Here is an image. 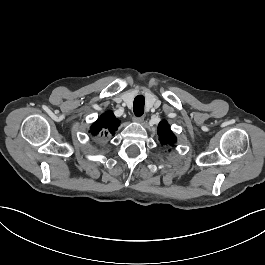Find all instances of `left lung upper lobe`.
<instances>
[{"instance_id": "left-lung-upper-lobe-1", "label": "left lung upper lobe", "mask_w": 265, "mask_h": 265, "mask_svg": "<svg viewBox=\"0 0 265 265\" xmlns=\"http://www.w3.org/2000/svg\"><path fill=\"white\" fill-rule=\"evenodd\" d=\"M158 136L159 140L163 145L173 146L177 139L172 133L170 126L167 121L163 120L158 125Z\"/></svg>"}]
</instances>
